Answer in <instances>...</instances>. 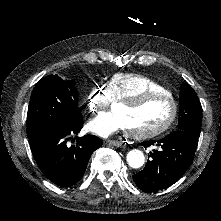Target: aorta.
I'll return each instance as SVG.
<instances>
[{
	"label": "aorta",
	"instance_id": "obj_1",
	"mask_svg": "<svg viewBox=\"0 0 221 221\" xmlns=\"http://www.w3.org/2000/svg\"><path fill=\"white\" fill-rule=\"evenodd\" d=\"M126 161L131 168L137 169L143 166L145 156L142 151L133 149L128 152Z\"/></svg>",
	"mask_w": 221,
	"mask_h": 221
}]
</instances>
